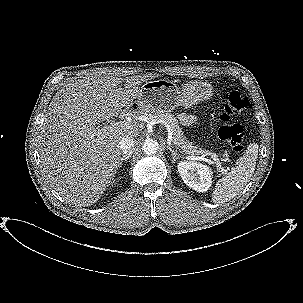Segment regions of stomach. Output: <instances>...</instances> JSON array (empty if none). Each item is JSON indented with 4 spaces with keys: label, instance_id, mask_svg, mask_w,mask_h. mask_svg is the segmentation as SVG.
I'll return each instance as SVG.
<instances>
[{
    "label": "stomach",
    "instance_id": "0dacf381",
    "mask_svg": "<svg viewBox=\"0 0 303 303\" xmlns=\"http://www.w3.org/2000/svg\"><path fill=\"white\" fill-rule=\"evenodd\" d=\"M212 92L205 81H190L182 87L166 79L147 81L140 88L137 106L142 114L169 113L178 106L190 108L208 100Z\"/></svg>",
    "mask_w": 303,
    "mask_h": 303
}]
</instances>
